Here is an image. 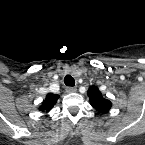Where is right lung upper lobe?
Returning a JSON list of instances; mask_svg holds the SVG:
<instances>
[{"label": "right lung upper lobe", "instance_id": "cb5924a9", "mask_svg": "<svg viewBox=\"0 0 145 145\" xmlns=\"http://www.w3.org/2000/svg\"><path fill=\"white\" fill-rule=\"evenodd\" d=\"M59 98V95H55L53 93H49L46 96V99L42 102L41 106L39 107V110L42 112L46 111L49 112L51 108L55 105Z\"/></svg>", "mask_w": 145, "mask_h": 145}]
</instances>
